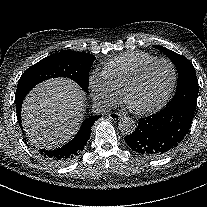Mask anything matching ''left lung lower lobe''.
Masks as SVG:
<instances>
[{
	"instance_id": "0a47b994",
	"label": "left lung lower lobe",
	"mask_w": 207,
	"mask_h": 207,
	"mask_svg": "<svg viewBox=\"0 0 207 207\" xmlns=\"http://www.w3.org/2000/svg\"><path fill=\"white\" fill-rule=\"evenodd\" d=\"M195 111L183 105L166 106L141 118L136 130L124 137L127 145L145 157L170 153L189 132Z\"/></svg>"
}]
</instances>
